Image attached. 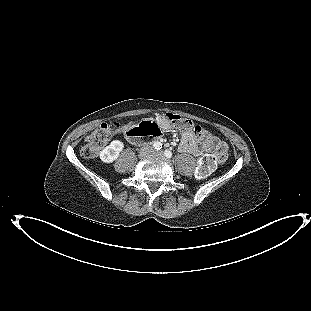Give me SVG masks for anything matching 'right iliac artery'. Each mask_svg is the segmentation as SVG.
<instances>
[{"instance_id":"1","label":"right iliac artery","mask_w":311,"mask_h":311,"mask_svg":"<svg viewBox=\"0 0 311 311\" xmlns=\"http://www.w3.org/2000/svg\"><path fill=\"white\" fill-rule=\"evenodd\" d=\"M153 147L156 150H160L162 148V144L160 142H154Z\"/></svg>"}]
</instances>
